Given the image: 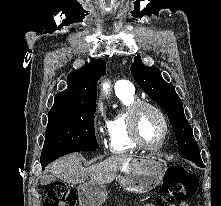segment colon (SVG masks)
<instances>
[{
  "label": "colon",
  "instance_id": "colon-1",
  "mask_svg": "<svg viewBox=\"0 0 221 206\" xmlns=\"http://www.w3.org/2000/svg\"><path fill=\"white\" fill-rule=\"evenodd\" d=\"M198 178L184 167L176 165L168 168L165 183L156 196L155 206H172L196 195ZM45 206H76V192L64 183L56 181L46 188Z\"/></svg>",
  "mask_w": 221,
  "mask_h": 206
}]
</instances>
